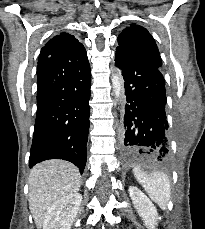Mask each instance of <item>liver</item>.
Returning <instances> with one entry per match:
<instances>
[{
	"label": "liver",
	"mask_w": 205,
	"mask_h": 229,
	"mask_svg": "<svg viewBox=\"0 0 205 229\" xmlns=\"http://www.w3.org/2000/svg\"><path fill=\"white\" fill-rule=\"evenodd\" d=\"M80 183L79 170L64 160H47L32 168L28 179L29 209L37 229L42 227L50 207L61 198L77 193Z\"/></svg>",
	"instance_id": "6515ba94"
}]
</instances>
